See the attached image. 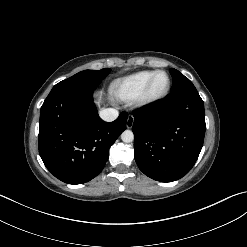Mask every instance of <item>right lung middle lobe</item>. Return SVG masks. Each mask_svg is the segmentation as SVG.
<instances>
[{"label":"right lung middle lobe","mask_w":247,"mask_h":247,"mask_svg":"<svg viewBox=\"0 0 247 247\" xmlns=\"http://www.w3.org/2000/svg\"><path fill=\"white\" fill-rule=\"evenodd\" d=\"M111 69L84 70L56 84L51 91L59 89H89L94 90L110 73Z\"/></svg>","instance_id":"right-lung-middle-lobe-1"}]
</instances>
